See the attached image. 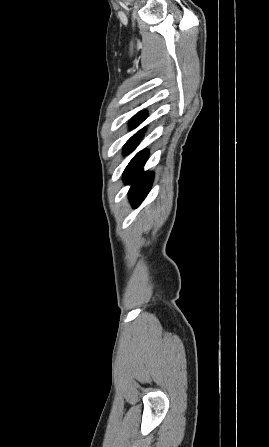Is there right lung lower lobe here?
<instances>
[{
  "mask_svg": "<svg viewBox=\"0 0 269 447\" xmlns=\"http://www.w3.org/2000/svg\"><path fill=\"white\" fill-rule=\"evenodd\" d=\"M146 117V112H142L133 118L131 127H136L144 118ZM142 131L132 137L125 145L124 153L132 151L142 138ZM148 152H139L129 163L124 172L125 183H131L132 186L129 190V198L134 207H137L146 197L148 191L151 188L153 181L152 172H143L142 168L147 160Z\"/></svg>",
  "mask_w": 269,
  "mask_h": 447,
  "instance_id": "right-lung-lower-lobe-1",
  "label": "right lung lower lobe"
}]
</instances>
